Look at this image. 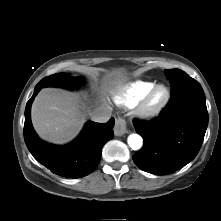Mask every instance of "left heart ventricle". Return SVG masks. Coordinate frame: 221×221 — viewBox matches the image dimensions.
Masks as SVG:
<instances>
[{
	"mask_svg": "<svg viewBox=\"0 0 221 221\" xmlns=\"http://www.w3.org/2000/svg\"><path fill=\"white\" fill-rule=\"evenodd\" d=\"M163 97H164V90H163V89H160V90L156 93L153 102H154V103H157V102H159L160 100H162Z\"/></svg>",
	"mask_w": 221,
	"mask_h": 221,
	"instance_id": "1",
	"label": "left heart ventricle"
}]
</instances>
